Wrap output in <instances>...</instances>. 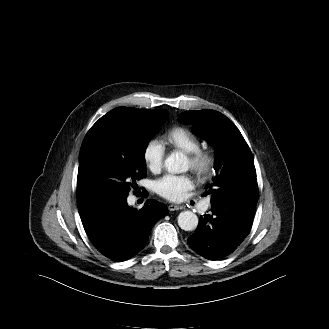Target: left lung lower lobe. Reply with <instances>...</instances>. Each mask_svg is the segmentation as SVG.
I'll return each instance as SVG.
<instances>
[{"instance_id":"0a47b994","label":"left lung lower lobe","mask_w":329,"mask_h":329,"mask_svg":"<svg viewBox=\"0 0 329 329\" xmlns=\"http://www.w3.org/2000/svg\"><path fill=\"white\" fill-rule=\"evenodd\" d=\"M224 200H211V213L200 216L190 247L206 259L217 260L232 253L248 235L258 200L255 169Z\"/></svg>"}]
</instances>
